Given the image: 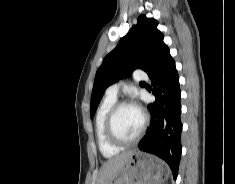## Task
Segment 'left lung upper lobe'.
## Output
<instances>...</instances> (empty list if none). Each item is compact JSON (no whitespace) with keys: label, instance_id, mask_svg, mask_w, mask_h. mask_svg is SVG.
Returning a JSON list of instances; mask_svg holds the SVG:
<instances>
[{"label":"left lung upper lobe","instance_id":"1","mask_svg":"<svg viewBox=\"0 0 235 184\" xmlns=\"http://www.w3.org/2000/svg\"><path fill=\"white\" fill-rule=\"evenodd\" d=\"M157 25L155 19L140 15L137 25L104 58L95 76L90 104L91 118L109 85L129 76L136 68L149 72L156 51L163 42V34L157 29Z\"/></svg>","mask_w":235,"mask_h":184}]
</instances>
